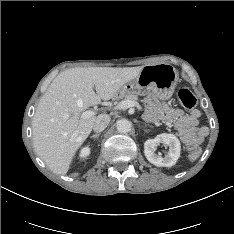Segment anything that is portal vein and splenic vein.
Wrapping results in <instances>:
<instances>
[{
  "label": "portal vein and splenic vein",
  "instance_id": "obj_1",
  "mask_svg": "<svg viewBox=\"0 0 234 234\" xmlns=\"http://www.w3.org/2000/svg\"><path fill=\"white\" fill-rule=\"evenodd\" d=\"M130 107H137V109L142 110V107L139 105V103L132 101V100H123L121 101L116 107L115 109H119V110H123V109H127ZM95 115V112L92 110H88L82 113L81 117L82 118H90L92 116Z\"/></svg>",
  "mask_w": 234,
  "mask_h": 234
}]
</instances>
